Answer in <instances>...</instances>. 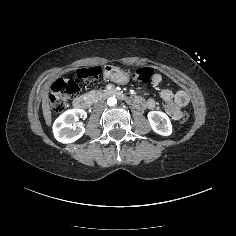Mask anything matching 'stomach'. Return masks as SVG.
I'll return each instance as SVG.
<instances>
[{"mask_svg":"<svg viewBox=\"0 0 236 236\" xmlns=\"http://www.w3.org/2000/svg\"><path fill=\"white\" fill-rule=\"evenodd\" d=\"M104 77L119 85H126L130 81V75L128 71L113 65L104 66Z\"/></svg>","mask_w":236,"mask_h":236,"instance_id":"obj_1","label":"stomach"}]
</instances>
